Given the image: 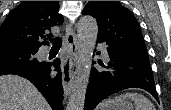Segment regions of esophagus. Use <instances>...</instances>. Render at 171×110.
Here are the masks:
<instances>
[{"label": "esophagus", "mask_w": 171, "mask_h": 110, "mask_svg": "<svg viewBox=\"0 0 171 110\" xmlns=\"http://www.w3.org/2000/svg\"><path fill=\"white\" fill-rule=\"evenodd\" d=\"M66 57L61 66L62 84L64 95L67 97L72 92L74 79L79 62L80 48L74 30L67 24L65 32Z\"/></svg>", "instance_id": "34e87169"}]
</instances>
